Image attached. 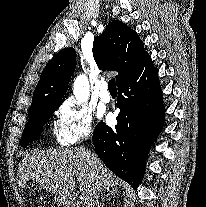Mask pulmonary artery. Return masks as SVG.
Returning <instances> with one entry per match:
<instances>
[{
  "instance_id": "1",
  "label": "pulmonary artery",
  "mask_w": 206,
  "mask_h": 207,
  "mask_svg": "<svg viewBox=\"0 0 206 207\" xmlns=\"http://www.w3.org/2000/svg\"><path fill=\"white\" fill-rule=\"evenodd\" d=\"M99 97H100V100L104 103H109L112 99L111 94L108 91V85L106 82H103L101 85Z\"/></svg>"
}]
</instances>
